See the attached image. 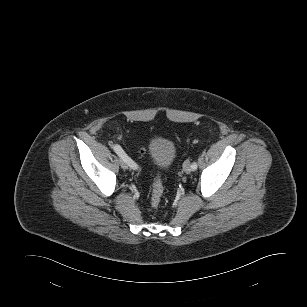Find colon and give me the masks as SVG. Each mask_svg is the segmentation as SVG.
<instances>
[{
	"mask_svg": "<svg viewBox=\"0 0 307 307\" xmlns=\"http://www.w3.org/2000/svg\"><path fill=\"white\" fill-rule=\"evenodd\" d=\"M164 186L162 179L159 175H157L152 184V192H151V205L154 208H157L163 197Z\"/></svg>",
	"mask_w": 307,
	"mask_h": 307,
	"instance_id": "1",
	"label": "colon"
}]
</instances>
